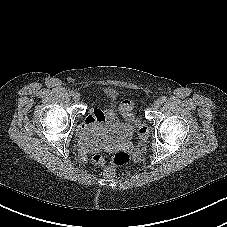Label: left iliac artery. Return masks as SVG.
<instances>
[{
    "mask_svg": "<svg viewBox=\"0 0 227 227\" xmlns=\"http://www.w3.org/2000/svg\"><path fill=\"white\" fill-rule=\"evenodd\" d=\"M166 100H167V98H166L165 96H162V97L160 98L161 103H164Z\"/></svg>",
    "mask_w": 227,
    "mask_h": 227,
    "instance_id": "obj_1",
    "label": "left iliac artery"
}]
</instances>
